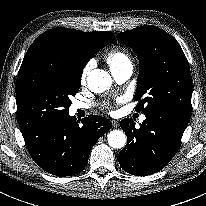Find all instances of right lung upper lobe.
Instances as JSON below:
<instances>
[{"label": "right lung upper lobe", "mask_w": 206, "mask_h": 206, "mask_svg": "<svg viewBox=\"0 0 206 206\" xmlns=\"http://www.w3.org/2000/svg\"><path fill=\"white\" fill-rule=\"evenodd\" d=\"M52 40L74 48L85 65L93 55L109 43L116 44L111 32H83L68 28H55L41 34L32 45L41 41Z\"/></svg>", "instance_id": "cb5924a9"}]
</instances>
